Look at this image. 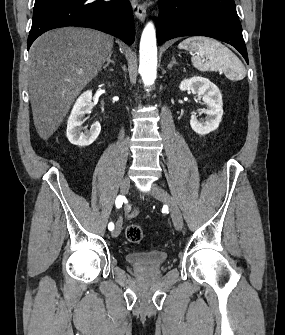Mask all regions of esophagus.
<instances>
[{"instance_id":"34e87169","label":"esophagus","mask_w":285,"mask_h":335,"mask_svg":"<svg viewBox=\"0 0 285 335\" xmlns=\"http://www.w3.org/2000/svg\"><path fill=\"white\" fill-rule=\"evenodd\" d=\"M132 9L135 14V16L140 20L144 21L146 18V9L143 5L133 2L132 3Z\"/></svg>"}]
</instances>
